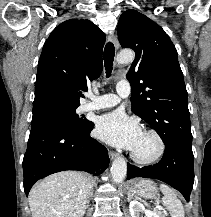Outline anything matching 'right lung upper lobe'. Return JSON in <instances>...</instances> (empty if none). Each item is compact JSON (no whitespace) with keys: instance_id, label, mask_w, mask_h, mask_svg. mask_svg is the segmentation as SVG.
I'll list each match as a JSON object with an SVG mask.
<instances>
[{"instance_id":"obj_1","label":"right lung upper lobe","mask_w":211,"mask_h":217,"mask_svg":"<svg viewBox=\"0 0 211 217\" xmlns=\"http://www.w3.org/2000/svg\"><path fill=\"white\" fill-rule=\"evenodd\" d=\"M104 43L89 20L70 19L51 32L38 63L32 119L80 105L81 91L102 72Z\"/></svg>"}]
</instances>
